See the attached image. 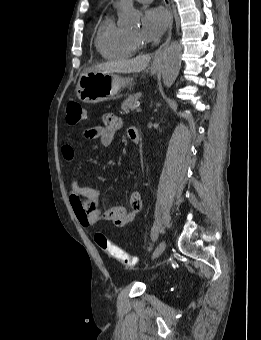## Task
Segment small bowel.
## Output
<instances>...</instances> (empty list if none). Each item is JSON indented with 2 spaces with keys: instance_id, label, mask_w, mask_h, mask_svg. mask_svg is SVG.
<instances>
[{
  "instance_id": "c3829d8e",
  "label": "small bowel",
  "mask_w": 261,
  "mask_h": 340,
  "mask_svg": "<svg viewBox=\"0 0 261 340\" xmlns=\"http://www.w3.org/2000/svg\"><path fill=\"white\" fill-rule=\"evenodd\" d=\"M122 127V121L115 115L105 114L99 126L87 128L82 136L88 139H99L101 144L108 147L112 144L115 133ZM138 133L135 126L128 128V135ZM62 156L65 160L71 161L75 156V148L72 143L62 146ZM102 194L100 189L82 186L77 179L71 182L69 201L79 223L85 228H93L102 221L115 227H123L133 220L135 215L142 208V199L139 192H133L129 198L131 211L125 206L117 205L105 208L100 204L99 198Z\"/></svg>"
}]
</instances>
